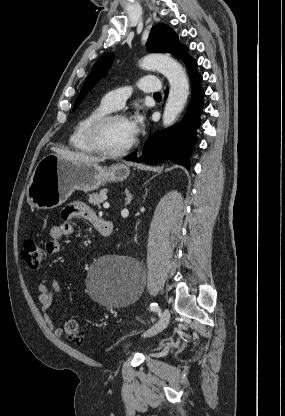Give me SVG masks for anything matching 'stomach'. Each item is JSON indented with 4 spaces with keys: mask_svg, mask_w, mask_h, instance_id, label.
<instances>
[{
    "mask_svg": "<svg viewBox=\"0 0 285 416\" xmlns=\"http://www.w3.org/2000/svg\"><path fill=\"white\" fill-rule=\"evenodd\" d=\"M130 174L125 164L102 168L49 154L37 164L27 186V200L38 210H52L66 202L74 190L93 192L106 182H122Z\"/></svg>",
    "mask_w": 285,
    "mask_h": 416,
    "instance_id": "obj_1",
    "label": "stomach"
}]
</instances>
